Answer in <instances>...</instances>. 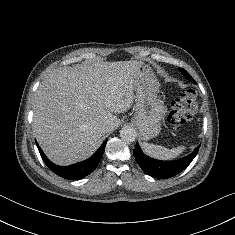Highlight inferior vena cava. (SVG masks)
Wrapping results in <instances>:
<instances>
[{
    "instance_id": "obj_1",
    "label": "inferior vena cava",
    "mask_w": 235,
    "mask_h": 235,
    "mask_svg": "<svg viewBox=\"0 0 235 235\" xmlns=\"http://www.w3.org/2000/svg\"><path fill=\"white\" fill-rule=\"evenodd\" d=\"M102 129H106V125L105 124L102 126Z\"/></svg>"
}]
</instances>
